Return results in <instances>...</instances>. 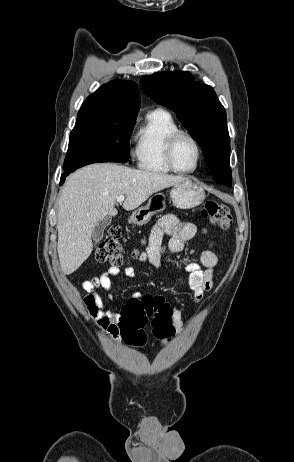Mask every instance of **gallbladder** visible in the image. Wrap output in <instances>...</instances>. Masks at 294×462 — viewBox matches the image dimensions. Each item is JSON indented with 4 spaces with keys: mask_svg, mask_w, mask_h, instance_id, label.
<instances>
[{
    "mask_svg": "<svg viewBox=\"0 0 294 462\" xmlns=\"http://www.w3.org/2000/svg\"><path fill=\"white\" fill-rule=\"evenodd\" d=\"M110 223L111 218H105L97 223L91 235V238L95 243L99 242L103 238L104 230Z\"/></svg>",
    "mask_w": 294,
    "mask_h": 462,
    "instance_id": "bac80fb5",
    "label": "gallbladder"
}]
</instances>
